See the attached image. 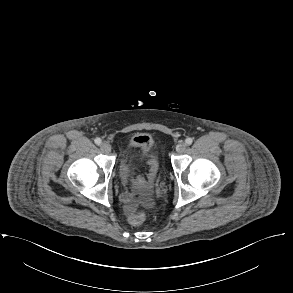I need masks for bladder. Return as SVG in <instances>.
Here are the masks:
<instances>
[{
	"mask_svg": "<svg viewBox=\"0 0 293 293\" xmlns=\"http://www.w3.org/2000/svg\"><path fill=\"white\" fill-rule=\"evenodd\" d=\"M146 153L144 146L128 144L122 151L119 163V174L122 180L128 181L137 170L138 161Z\"/></svg>",
	"mask_w": 293,
	"mask_h": 293,
	"instance_id": "obj_1",
	"label": "bladder"
}]
</instances>
